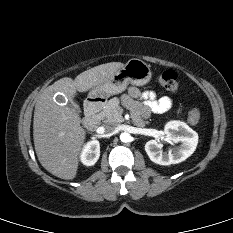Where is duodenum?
Listing matches in <instances>:
<instances>
[{"label": "duodenum", "mask_w": 233, "mask_h": 233, "mask_svg": "<svg viewBox=\"0 0 233 233\" xmlns=\"http://www.w3.org/2000/svg\"><path fill=\"white\" fill-rule=\"evenodd\" d=\"M105 103L103 98H92L85 104V114L82 120L86 129L92 130L99 123V112Z\"/></svg>", "instance_id": "obj_1"}]
</instances>
